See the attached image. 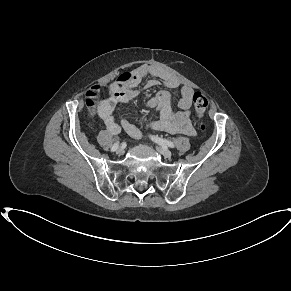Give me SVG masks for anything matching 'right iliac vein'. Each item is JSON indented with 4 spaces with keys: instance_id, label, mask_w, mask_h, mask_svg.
I'll list each match as a JSON object with an SVG mask.
<instances>
[{
    "instance_id": "obj_1",
    "label": "right iliac vein",
    "mask_w": 291,
    "mask_h": 291,
    "mask_svg": "<svg viewBox=\"0 0 291 291\" xmlns=\"http://www.w3.org/2000/svg\"><path fill=\"white\" fill-rule=\"evenodd\" d=\"M117 153L119 155L123 154L124 153V149L122 147H119L118 150H117Z\"/></svg>"
}]
</instances>
